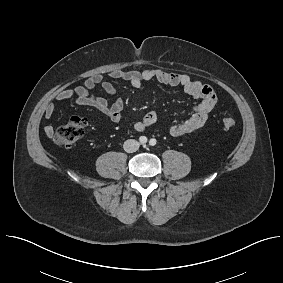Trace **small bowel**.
Wrapping results in <instances>:
<instances>
[{"mask_svg": "<svg viewBox=\"0 0 283 283\" xmlns=\"http://www.w3.org/2000/svg\"><path fill=\"white\" fill-rule=\"evenodd\" d=\"M113 79L129 82L132 86L139 88L145 82L156 80L159 83L181 87L187 94L198 99L191 116L181 123L172 124L169 128L173 136H182L192 133L203 127L217 102V94L213 87L200 81L192 79L189 75L176 72H167L160 68H146L143 70H113L109 73ZM100 86L108 95L114 98L113 101L91 94V91ZM75 98L76 103L81 106H88L97 109L106 115L112 122L118 123L122 118L124 107L123 100L118 97L115 86L105 80L102 75H94L87 78L82 86L73 89H66L58 92L56 99L65 101ZM56 111L54 103H48L44 108V117L50 119ZM158 122V114L149 111L144 114L141 120L133 124L137 132H143ZM46 133H52V127H46Z\"/></svg>", "mask_w": 283, "mask_h": 283, "instance_id": "1", "label": "small bowel"}]
</instances>
